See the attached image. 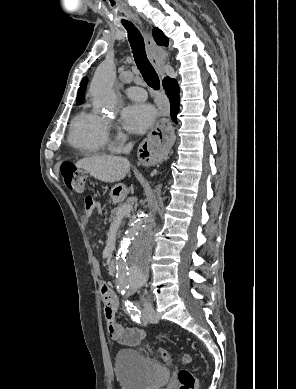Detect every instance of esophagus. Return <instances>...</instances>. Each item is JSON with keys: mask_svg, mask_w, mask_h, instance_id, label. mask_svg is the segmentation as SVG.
<instances>
[{"mask_svg": "<svg viewBox=\"0 0 296 389\" xmlns=\"http://www.w3.org/2000/svg\"><path fill=\"white\" fill-rule=\"evenodd\" d=\"M137 22L142 26L140 20H137ZM144 39L148 58L160 77L163 78V60L157 51L155 41L152 35L146 31H144ZM176 140L177 135L173 131L171 122H156L152 130L143 135L139 146V155H142V167L150 169L154 163H159L161 158L168 157Z\"/></svg>", "mask_w": 296, "mask_h": 389, "instance_id": "esophagus-1", "label": "esophagus"}]
</instances>
